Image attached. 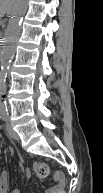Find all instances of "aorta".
Returning <instances> with one entry per match:
<instances>
[{
    "instance_id": "aorta-1",
    "label": "aorta",
    "mask_w": 103,
    "mask_h": 193,
    "mask_svg": "<svg viewBox=\"0 0 103 193\" xmlns=\"http://www.w3.org/2000/svg\"><path fill=\"white\" fill-rule=\"evenodd\" d=\"M27 9L28 0H18L14 11V16L9 21L4 34L0 57V76L3 87L6 81L9 65L16 50V44L20 36L23 17L26 14Z\"/></svg>"
}]
</instances>
